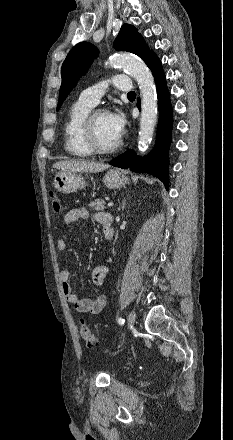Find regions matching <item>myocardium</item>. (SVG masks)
Segmentation results:
<instances>
[{"label": "myocardium", "instance_id": "obj_1", "mask_svg": "<svg viewBox=\"0 0 233 440\" xmlns=\"http://www.w3.org/2000/svg\"><path fill=\"white\" fill-rule=\"evenodd\" d=\"M101 114H108V111L106 109L100 108V109H93L88 113L82 124V130H81L82 139L86 147L93 154H99V155L113 154L121 148L123 142L122 139L119 138L115 144L107 148L102 147L97 143L95 137V130H94V121L96 117Z\"/></svg>", "mask_w": 233, "mask_h": 440}]
</instances>
